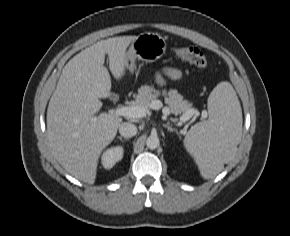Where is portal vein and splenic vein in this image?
Listing matches in <instances>:
<instances>
[{
	"label": "portal vein and splenic vein",
	"mask_w": 290,
	"mask_h": 236,
	"mask_svg": "<svg viewBox=\"0 0 290 236\" xmlns=\"http://www.w3.org/2000/svg\"><path fill=\"white\" fill-rule=\"evenodd\" d=\"M149 109L159 110L162 109L164 117H167L170 114V109L167 106H163V103L160 100H154L150 103ZM149 109L144 106H122L115 110H112V114L123 116L127 118H142L149 113ZM198 113L195 110H190L186 114L180 117V122L188 121L194 114ZM202 116L205 118L207 116L206 112L202 113Z\"/></svg>",
	"instance_id": "obj_1"
}]
</instances>
